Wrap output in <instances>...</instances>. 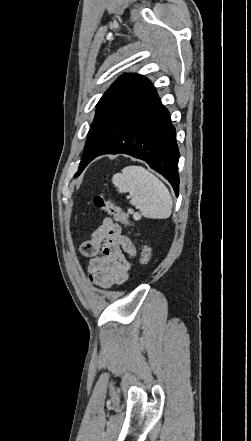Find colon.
<instances>
[{
	"label": "colon",
	"instance_id": "obj_1",
	"mask_svg": "<svg viewBox=\"0 0 251 441\" xmlns=\"http://www.w3.org/2000/svg\"><path fill=\"white\" fill-rule=\"evenodd\" d=\"M94 205L102 211L111 215L115 220L125 225H132L130 216L124 212L118 206L114 205L110 199L104 193H98L93 198ZM151 253L150 249L146 245H142L140 253V262L143 265H147L150 261Z\"/></svg>",
	"mask_w": 251,
	"mask_h": 441
}]
</instances>
